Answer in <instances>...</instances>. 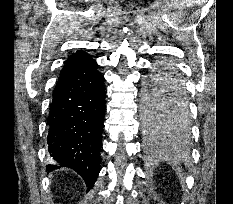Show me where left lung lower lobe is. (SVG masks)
Returning a JSON list of instances; mask_svg holds the SVG:
<instances>
[{
  "label": "left lung lower lobe",
  "mask_w": 233,
  "mask_h": 204,
  "mask_svg": "<svg viewBox=\"0 0 233 204\" xmlns=\"http://www.w3.org/2000/svg\"><path fill=\"white\" fill-rule=\"evenodd\" d=\"M159 72V80L160 81H165L168 83H171L176 86L182 85V79L178 72L170 67L167 66H161L158 70ZM158 130H163V131H170V132H181L180 130H177L175 128H170V127H157ZM156 128V129H157ZM154 129H146L148 132H152L156 130Z\"/></svg>",
  "instance_id": "0a47b994"
}]
</instances>
